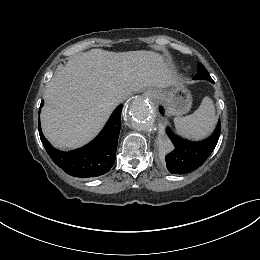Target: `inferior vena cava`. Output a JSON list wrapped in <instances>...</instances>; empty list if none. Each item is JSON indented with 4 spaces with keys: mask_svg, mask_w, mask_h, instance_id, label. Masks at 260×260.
<instances>
[{
    "mask_svg": "<svg viewBox=\"0 0 260 260\" xmlns=\"http://www.w3.org/2000/svg\"><path fill=\"white\" fill-rule=\"evenodd\" d=\"M125 99H126L125 96H118V97H116V98L114 99L113 102H114L115 105H118L119 103L123 102Z\"/></svg>",
    "mask_w": 260,
    "mask_h": 260,
    "instance_id": "obj_1",
    "label": "inferior vena cava"
}]
</instances>
